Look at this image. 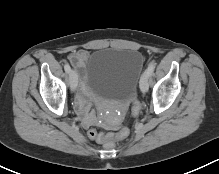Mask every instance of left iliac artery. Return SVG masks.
<instances>
[{
  "instance_id": "44dca946",
  "label": "left iliac artery",
  "mask_w": 219,
  "mask_h": 174,
  "mask_svg": "<svg viewBox=\"0 0 219 174\" xmlns=\"http://www.w3.org/2000/svg\"><path fill=\"white\" fill-rule=\"evenodd\" d=\"M155 66H156V63L155 62H151L149 65H148V67H147V69H146V73L148 74V76H150L152 73H153V71H154V69H155Z\"/></svg>"
}]
</instances>
